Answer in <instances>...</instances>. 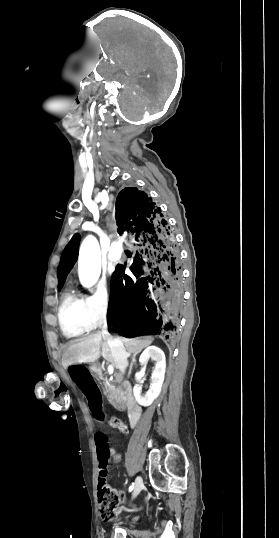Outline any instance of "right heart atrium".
<instances>
[{"mask_svg": "<svg viewBox=\"0 0 279 538\" xmlns=\"http://www.w3.org/2000/svg\"><path fill=\"white\" fill-rule=\"evenodd\" d=\"M86 312L91 328L105 322L113 311L112 297L107 288H99L86 297Z\"/></svg>", "mask_w": 279, "mask_h": 538, "instance_id": "right-heart-atrium-1", "label": "right heart atrium"}]
</instances>
